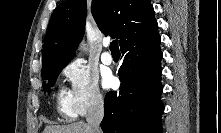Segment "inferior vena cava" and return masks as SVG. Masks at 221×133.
Wrapping results in <instances>:
<instances>
[{
	"instance_id": "obj_1",
	"label": "inferior vena cava",
	"mask_w": 221,
	"mask_h": 133,
	"mask_svg": "<svg viewBox=\"0 0 221 133\" xmlns=\"http://www.w3.org/2000/svg\"><path fill=\"white\" fill-rule=\"evenodd\" d=\"M104 116V102L101 96H98L90 107L86 121L91 128V133H101L100 123Z\"/></svg>"
}]
</instances>
